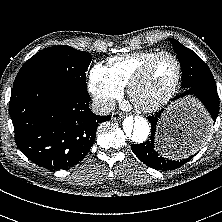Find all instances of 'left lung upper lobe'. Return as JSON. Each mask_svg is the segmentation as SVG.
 I'll return each mask as SVG.
<instances>
[{
  "label": "left lung upper lobe",
  "instance_id": "obj_1",
  "mask_svg": "<svg viewBox=\"0 0 222 222\" xmlns=\"http://www.w3.org/2000/svg\"><path fill=\"white\" fill-rule=\"evenodd\" d=\"M178 60L181 63L183 88L191 86H202L216 88L214 77L205 62L191 49L183 46L177 40L170 38ZM186 67H194L193 72H187ZM158 167L164 169L162 161H158Z\"/></svg>",
  "mask_w": 222,
  "mask_h": 222
}]
</instances>
